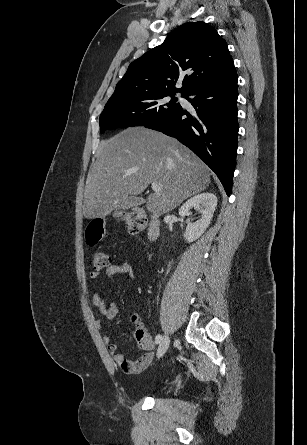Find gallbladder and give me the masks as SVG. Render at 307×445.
<instances>
[{"label": "gallbladder", "instance_id": "gallbladder-1", "mask_svg": "<svg viewBox=\"0 0 307 445\" xmlns=\"http://www.w3.org/2000/svg\"><path fill=\"white\" fill-rule=\"evenodd\" d=\"M143 200L139 196H126L125 200L122 201V204L118 206L120 211H127L131 207H137L142 205Z\"/></svg>", "mask_w": 307, "mask_h": 445}]
</instances>
